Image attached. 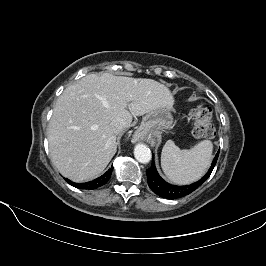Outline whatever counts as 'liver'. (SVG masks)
<instances>
[{
    "instance_id": "1",
    "label": "liver",
    "mask_w": 266,
    "mask_h": 266,
    "mask_svg": "<svg viewBox=\"0 0 266 266\" xmlns=\"http://www.w3.org/2000/svg\"><path fill=\"white\" fill-rule=\"evenodd\" d=\"M173 104L169 89L155 80L88 74L57 99L47 131L52 163L72 181L90 180L116 153L113 120L123 119L128 128L133 115Z\"/></svg>"
}]
</instances>
